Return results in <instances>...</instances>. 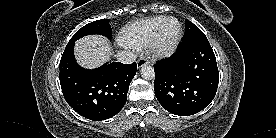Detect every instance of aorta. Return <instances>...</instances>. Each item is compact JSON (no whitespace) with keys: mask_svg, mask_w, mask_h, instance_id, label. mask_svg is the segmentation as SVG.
Here are the masks:
<instances>
[{"mask_svg":"<svg viewBox=\"0 0 276 138\" xmlns=\"http://www.w3.org/2000/svg\"><path fill=\"white\" fill-rule=\"evenodd\" d=\"M141 77L145 80H152L155 76L154 69L151 66L144 65L141 68Z\"/></svg>","mask_w":276,"mask_h":138,"instance_id":"762f6f07","label":"aorta"}]
</instances>
